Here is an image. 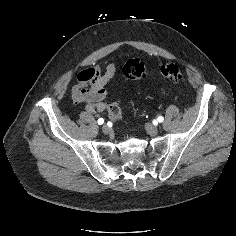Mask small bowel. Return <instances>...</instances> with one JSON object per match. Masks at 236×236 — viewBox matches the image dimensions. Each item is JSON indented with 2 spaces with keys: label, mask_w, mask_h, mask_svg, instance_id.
I'll return each mask as SVG.
<instances>
[{
  "label": "small bowel",
  "mask_w": 236,
  "mask_h": 236,
  "mask_svg": "<svg viewBox=\"0 0 236 236\" xmlns=\"http://www.w3.org/2000/svg\"><path fill=\"white\" fill-rule=\"evenodd\" d=\"M117 70L115 61H111L103 70L101 67H91L78 74V84L73 90L76 101L86 102L89 113L103 112L108 104L106 84L113 78Z\"/></svg>",
  "instance_id": "obj_1"
}]
</instances>
